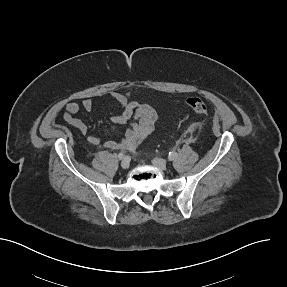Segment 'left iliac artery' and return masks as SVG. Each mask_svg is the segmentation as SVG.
Masks as SVG:
<instances>
[{"instance_id":"obj_1","label":"left iliac artery","mask_w":287,"mask_h":287,"mask_svg":"<svg viewBox=\"0 0 287 287\" xmlns=\"http://www.w3.org/2000/svg\"><path fill=\"white\" fill-rule=\"evenodd\" d=\"M177 157V153L176 152H170L168 155V159L169 160H174Z\"/></svg>"}]
</instances>
